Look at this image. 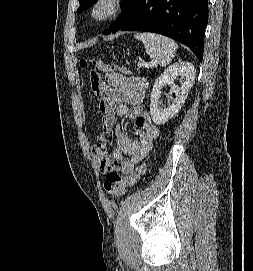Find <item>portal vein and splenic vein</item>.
Masks as SVG:
<instances>
[{"label": "portal vein and splenic vein", "instance_id": "18ae733b", "mask_svg": "<svg viewBox=\"0 0 253 271\" xmlns=\"http://www.w3.org/2000/svg\"><path fill=\"white\" fill-rule=\"evenodd\" d=\"M154 65H155V62H150V63H146V64L138 63L139 67H145V68H149V67H152Z\"/></svg>", "mask_w": 253, "mask_h": 271}]
</instances>
